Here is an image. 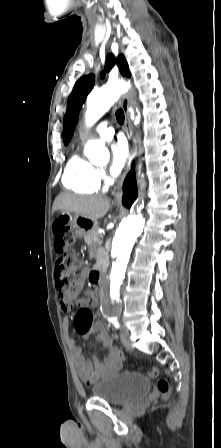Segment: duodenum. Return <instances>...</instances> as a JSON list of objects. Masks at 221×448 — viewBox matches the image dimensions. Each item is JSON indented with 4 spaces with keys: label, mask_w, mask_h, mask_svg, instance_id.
I'll use <instances>...</instances> for the list:
<instances>
[{
    "label": "duodenum",
    "mask_w": 221,
    "mask_h": 448,
    "mask_svg": "<svg viewBox=\"0 0 221 448\" xmlns=\"http://www.w3.org/2000/svg\"><path fill=\"white\" fill-rule=\"evenodd\" d=\"M89 279L91 281V283H93L94 285H101L102 283V270H93L90 275H89Z\"/></svg>",
    "instance_id": "410a0bca"
}]
</instances>
